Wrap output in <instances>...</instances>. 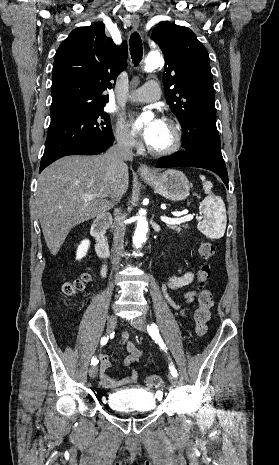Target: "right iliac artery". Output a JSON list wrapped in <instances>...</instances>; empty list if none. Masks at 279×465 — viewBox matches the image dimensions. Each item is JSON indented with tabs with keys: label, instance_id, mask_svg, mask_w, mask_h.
<instances>
[{
	"label": "right iliac artery",
	"instance_id": "right-iliac-artery-1",
	"mask_svg": "<svg viewBox=\"0 0 279 465\" xmlns=\"http://www.w3.org/2000/svg\"><path fill=\"white\" fill-rule=\"evenodd\" d=\"M108 341V336H104L101 338V345H105ZM98 364L97 358L93 357L91 360V365H96Z\"/></svg>",
	"mask_w": 279,
	"mask_h": 465
}]
</instances>
